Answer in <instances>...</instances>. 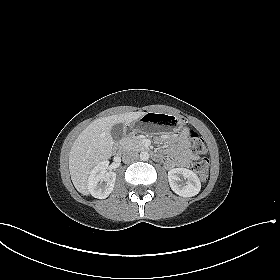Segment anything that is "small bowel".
<instances>
[{
	"instance_id": "1",
	"label": "small bowel",
	"mask_w": 280,
	"mask_h": 280,
	"mask_svg": "<svg viewBox=\"0 0 280 280\" xmlns=\"http://www.w3.org/2000/svg\"><path fill=\"white\" fill-rule=\"evenodd\" d=\"M171 157L164 160L167 169L176 167H188L197 156L189 149L188 129H183L176 140L171 142L168 149Z\"/></svg>"
}]
</instances>
